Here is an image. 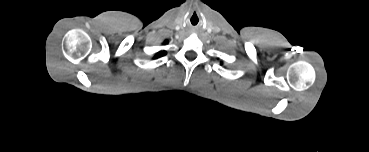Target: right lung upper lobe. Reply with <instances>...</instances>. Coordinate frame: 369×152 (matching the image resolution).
<instances>
[{"label": "right lung upper lobe", "mask_w": 369, "mask_h": 152, "mask_svg": "<svg viewBox=\"0 0 369 152\" xmlns=\"http://www.w3.org/2000/svg\"><path fill=\"white\" fill-rule=\"evenodd\" d=\"M165 54H166L165 51H160V52L157 53L156 57H160V56H163Z\"/></svg>", "instance_id": "right-lung-upper-lobe-1"}]
</instances>
